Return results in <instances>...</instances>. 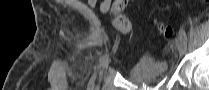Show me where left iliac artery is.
<instances>
[{
	"mask_svg": "<svg viewBox=\"0 0 209 90\" xmlns=\"http://www.w3.org/2000/svg\"><path fill=\"white\" fill-rule=\"evenodd\" d=\"M178 35L184 42H187V36L185 35V28H179Z\"/></svg>",
	"mask_w": 209,
	"mask_h": 90,
	"instance_id": "1",
	"label": "left iliac artery"
}]
</instances>
